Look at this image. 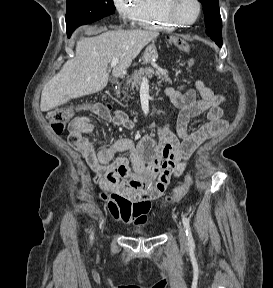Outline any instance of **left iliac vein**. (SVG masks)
Instances as JSON below:
<instances>
[{
	"instance_id": "1",
	"label": "left iliac vein",
	"mask_w": 273,
	"mask_h": 288,
	"mask_svg": "<svg viewBox=\"0 0 273 288\" xmlns=\"http://www.w3.org/2000/svg\"><path fill=\"white\" fill-rule=\"evenodd\" d=\"M179 240H180V244L182 247L187 246V238H186L184 227L182 225H179Z\"/></svg>"
}]
</instances>
